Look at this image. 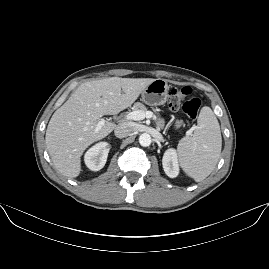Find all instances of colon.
<instances>
[{
  "instance_id": "obj_1",
  "label": "colon",
  "mask_w": 269,
  "mask_h": 269,
  "mask_svg": "<svg viewBox=\"0 0 269 269\" xmlns=\"http://www.w3.org/2000/svg\"><path fill=\"white\" fill-rule=\"evenodd\" d=\"M169 108L177 111L182 109L191 119H196L201 108V100L192 96V90L188 86H177L168 93Z\"/></svg>"
}]
</instances>
